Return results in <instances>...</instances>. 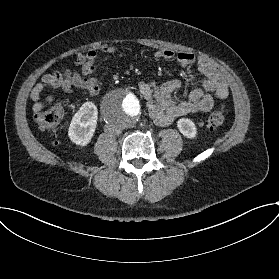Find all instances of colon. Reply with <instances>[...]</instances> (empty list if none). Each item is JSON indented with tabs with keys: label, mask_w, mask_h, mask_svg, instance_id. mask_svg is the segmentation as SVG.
I'll list each match as a JSON object with an SVG mask.
<instances>
[{
	"label": "colon",
	"mask_w": 279,
	"mask_h": 279,
	"mask_svg": "<svg viewBox=\"0 0 279 279\" xmlns=\"http://www.w3.org/2000/svg\"><path fill=\"white\" fill-rule=\"evenodd\" d=\"M68 73H72L71 70L67 69ZM228 105L222 103L220 107L210 115H208L206 119V128L208 130H215L217 129L224 121V117L228 112ZM62 115V110L56 107H49L43 111H40L35 114V121L40 130L55 134L59 120Z\"/></svg>",
	"instance_id": "obj_1"
}]
</instances>
